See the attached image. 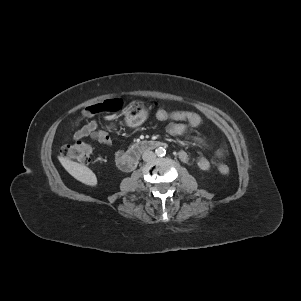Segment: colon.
<instances>
[{"label": "colon", "mask_w": 301, "mask_h": 301, "mask_svg": "<svg viewBox=\"0 0 301 301\" xmlns=\"http://www.w3.org/2000/svg\"><path fill=\"white\" fill-rule=\"evenodd\" d=\"M123 106V101L121 99H109L101 103L94 104L87 107L82 111L80 119L87 118L97 113L103 112H116L120 110ZM149 106L153 109H157L158 112L162 111V107L155 100L149 101ZM172 116L178 119H182L184 122H189L192 126H199L201 124L202 118L193 111H182L173 110ZM61 154L64 158L77 161L80 163H91L93 162L94 150L93 148L81 141H77L74 144L67 145L63 147ZM218 170L221 174H228L230 169L226 164H219Z\"/></svg>", "instance_id": "colon-1"}]
</instances>
